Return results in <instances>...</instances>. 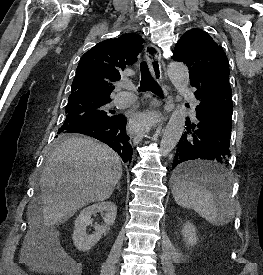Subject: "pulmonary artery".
<instances>
[{
  "instance_id": "obj_1",
  "label": "pulmonary artery",
  "mask_w": 263,
  "mask_h": 275,
  "mask_svg": "<svg viewBox=\"0 0 263 275\" xmlns=\"http://www.w3.org/2000/svg\"><path fill=\"white\" fill-rule=\"evenodd\" d=\"M129 90L132 89V86L127 85L126 86ZM185 96L187 100L191 102L192 108H195L196 106V99L194 98L193 94L186 90ZM136 100L135 95L131 91H122L119 92L116 99H115V104L119 108H125L133 104Z\"/></svg>"
}]
</instances>
